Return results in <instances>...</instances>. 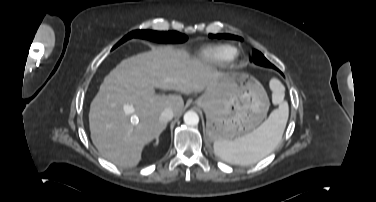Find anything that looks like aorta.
Here are the masks:
<instances>
[{"mask_svg": "<svg viewBox=\"0 0 376 202\" xmlns=\"http://www.w3.org/2000/svg\"><path fill=\"white\" fill-rule=\"evenodd\" d=\"M184 123L189 126H195L199 123V116L194 111H187L183 117Z\"/></svg>", "mask_w": 376, "mask_h": 202, "instance_id": "obj_1", "label": "aorta"}]
</instances>
